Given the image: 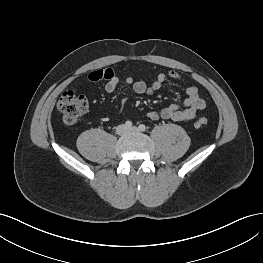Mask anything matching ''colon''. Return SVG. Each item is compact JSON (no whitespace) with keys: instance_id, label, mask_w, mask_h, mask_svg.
I'll return each mask as SVG.
<instances>
[{"instance_id":"obj_1","label":"colon","mask_w":263,"mask_h":263,"mask_svg":"<svg viewBox=\"0 0 263 263\" xmlns=\"http://www.w3.org/2000/svg\"><path fill=\"white\" fill-rule=\"evenodd\" d=\"M57 107L62 115L63 121L67 125H74L87 111L88 99L84 94L76 90H68L60 97ZM206 124L207 121L201 119L197 121L195 125L200 128Z\"/></svg>"}]
</instances>
